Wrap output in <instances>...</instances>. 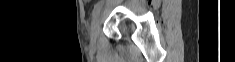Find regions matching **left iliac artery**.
Masks as SVG:
<instances>
[{"label":"left iliac artery","mask_w":235,"mask_h":62,"mask_svg":"<svg viewBox=\"0 0 235 62\" xmlns=\"http://www.w3.org/2000/svg\"><path fill=\"white\" fill-rule=\"evenodd\" d=\"M101 8H102V3H97L94 6V9L92 11V20H94L98 16V14L100 13Z\"/></svg>","instance_id":"1"}]
</instances>
